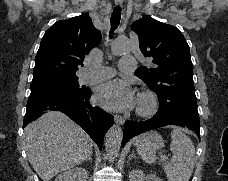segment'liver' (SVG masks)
I'll return each instance as SVG.
<instances>
[{
    "label": "liver",
    "mask_w": 228,
    "mask_h": 181,
    "mask_svg": "<svg viewBox=\"0 0 228 181\" xmlns=\"http://www.w3.org/2000/svg\"><path fill=\"white\" fill-rule=\"evenodd\" d=\"M27 159L42 181L81 165L93 141L64 113L50 111L24 129Z\"/></svg>",
    "instance_id": "6515ba94"
}]
</instances>
